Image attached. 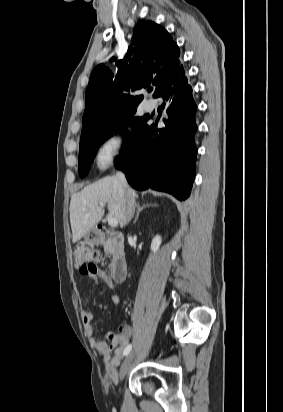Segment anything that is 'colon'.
Instances as JSON below:
<instances>
[{
    "label": "colon",
    "mask_w": 283,
    "mask_h": 412,
    "mask_svg": "<svg viewBox=\"0 0 283 412\" xmlns=\"http://www.w3.org/2000/svg\"><path fill=\"white\" fill-rule=\"evenodd\" d=\"M74 262L85 275H97L104 273L97 250L87 247H76L73 252ZM115 334L110 333L108 338L114 339Z\"/></svg>",
    "instance_id": "colon-1"
}]
</instances>
